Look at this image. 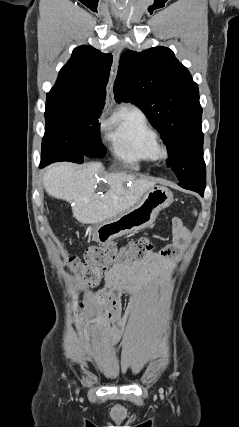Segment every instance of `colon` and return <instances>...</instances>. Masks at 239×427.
<instances>
[{
  "mask_svg": "<svg viewBox=\"0 0 239 427\" xmlns=\"http://www.w3.org/2000/svg\"><path fill=\"white\" fill-rule=\"evenodd\" d=\"M153 250V243L148 237H140L125 246L109 243L87 249L84 261L71 257L69 266L73 273L83 278L90 286L99 284L104 270L117 264H130L142 259Z\"/></svg>",
  "mask_w": 239,
  "mask_h": 427,
  "instance_id": "5ec220e1",
  "label": "colon"
}]
</instances>
